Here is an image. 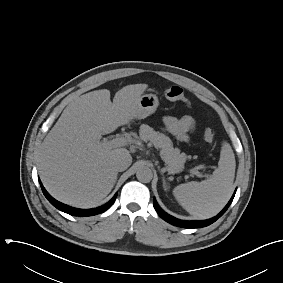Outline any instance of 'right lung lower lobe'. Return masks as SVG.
Wrapping results in <instances>:
<instances>
[{
    "mask_svg": "<svg viewBox=\"0 0 283 283\" xmlns=\"http://www.w3.org/2000/svg\"><path fill=\"white\" fill-rule=\"evenodd\" d=\"M40 185H41V188H42V191H43L45 197L48 199V201L53 206H55L57 209L65 212V213H68V214L74 215V216H92V215L100 214V213L106 211L115 202V199L117 197V193H116L114 195V197L109 202H107L105 205L100 206L98 208H94V209L83 210V209L73 208V207H70L68 205H65V204L58 202L57 200H55L53 197H51L48 194V192L45 190V188L43 187L41 182H40Z\"/></svg>",
    "mask_w": 283,
    "mask_h": 283,
    "instance_id": "right-lung-lower-lobe-1",
    "label": "right lung lower lobe"
}]
</instances>
